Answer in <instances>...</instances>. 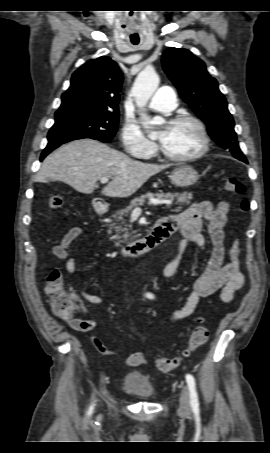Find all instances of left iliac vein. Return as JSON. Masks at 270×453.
<instances>
[{"instance_id":"4c4485c4","label":"left iliac vein","mask_w":270,"mask_h":453,"mask_svg":"<svg viewBox=\"0 0 270 453\" xmlns=\"http://www.w3.org/2000/svg\"><path fill=\"white\" fill-rule=\"evenodd\" d=\"M190 410V392L187 386H183L180 394L179 412L187 415L190 413Z\"/></svg>"}]
</instances>
